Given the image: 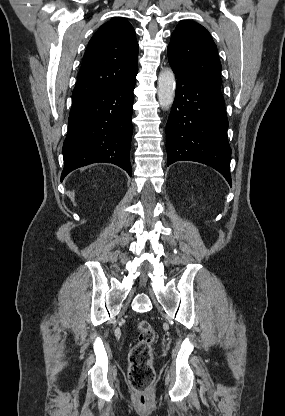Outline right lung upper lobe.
I'll use <instances>...</instances> for the list:
<instances>
[{
    "label": "right lung upper lobe",
    "mask_w": 285,
    "mask_h": 416,
    "mask_svg": "<svg viewBox=\"0 0 285 416\" xmlns=\"http://www.w3.org/2000/svg\"><path fill=\"white\" fill-rule=\"evenodd\" d=\"M139 45L124 18L99 27L87 46L73 102L104 93L137 74Z\"/></svg>",
    "instance_id": "right-lung-upper-lobe-1"
}]
</instances>
